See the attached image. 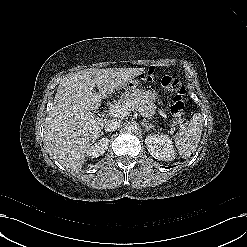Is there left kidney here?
<instances>
[{
    "instance_id": "obj_1",
    "label": "left kidney",
    "mask_w": 247,
    "mask_h": 247,
    "mask_svg": "<svg viewBox=\"0 0 247 247\" xmlns=\"http://www.w3.org/2000/svg\"><path fill=\"white\" fill-rule=\"evenodd\" d=\"M145 144L152 157L162 161L175 159L172 140L164 134H150L145 138Z\"/></svg>"
}]
</instances>
